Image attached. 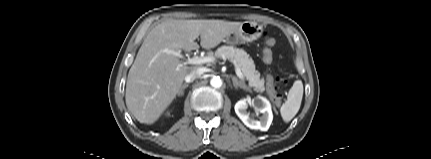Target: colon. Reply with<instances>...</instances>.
<instances>
[{"mask_svg": "<svg viewBox=\"0 0 431 159\" xmlns=\"http://www.w3.org/2000/svg\"><path fill=\"white\" fill-rule=\"evenodd\" d=\"M265 42H266L267 48L264 51V60L266 62H271V60H272V54H271V51H270L269 47L274 46L276 41H275L274 38L269 37V38L266 39ZM267 86H268V89L273 94L274 99L278 100L280 98V95L275 90L276 77H274L273 75H268L267 76Z\"/></svg>", "mask_w": 431, "mask_h": 159, "instance_id": "colon-1", "label": "colon"}]
</instances>
